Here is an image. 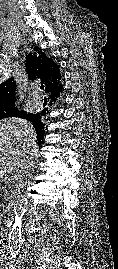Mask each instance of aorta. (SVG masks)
I'll return each instance as SVG.
<instances>
[{
    "mask_svg": "<svg viewBox=\"0 0 118 269\" xmlns=\"http://www.w3.org/2000/svg\"><path fill=\"white\" fill-rule=\"evenodd\" d=\"M27 200L22 195H17L14 200V223L9 233V249L17 252L22 239V222L26 212Z\"/></svg>",
    "mask_w": 118,
    "mask_h": 269,
    "instance_id": "762f6f07",
    "label": "aorta"
}]
</instances>
